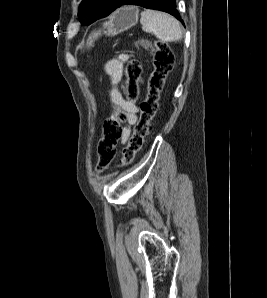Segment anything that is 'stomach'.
Instances as JSON below:
<instances>
[{"label":"stomach","instance_id":"0dacf381","mask_svg":"<svg viewBox=\"0 0 267 298\" xmlns=\"http://www.w3.org/2000/svg\"><path fill=\"white\" fill-rule=\"evenodd\" d=\"M138 9L134 6H124L114 11L108 21L103 23L101 29L95 30L87 41L86 46L90 48L93 46V42L102 35H117L122 33L131 27L135 26L138 22Z\"/></svg>","mask_w":267,"mask_h":298}]
</instances>
